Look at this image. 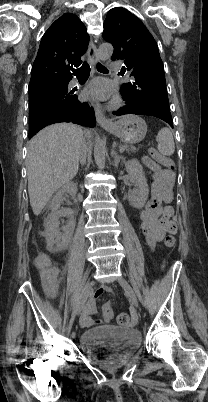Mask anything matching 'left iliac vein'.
<instances>
[{"instance_id": "left-iliac-vein-1", "label": "left iliac vein", "mask_w": 208, "mask_h": 402, "mask_svg": "<svg viewBox=\"0 0 208 402\" xmlns=\"http://www.w3.org/2000/svg\"><path fill=\"white\" fill-rule=\"evenodd\" d=\"M119 284L122 286V288L125 291L126 296L129 298L130 302L136 307H139L138 304V299L136 297V294L132 287L129 285V283L122 277L118 278Z\"/></svg>"}]
</instances>
